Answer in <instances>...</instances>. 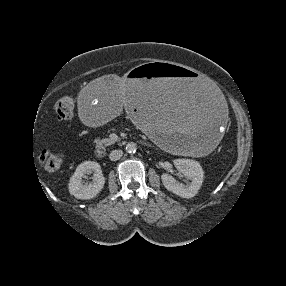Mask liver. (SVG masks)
Wrapping results in <instances>:
<instances>
[{"mask_svg":"<svg viewBox=\"0 0 286 286\" xmlns=\"http://www.w3.org/2000/svg\"><path fill=\"white\" fill-rule=\"evenodd\" d=\"M120 91L118 92V94H120V96H122L123 101H125V93L127 92V85H125L124 83L120 84Z\"/></svg>","mask_w":286,"mask_h":286,"instance_id":"1","label":"liver"}]
</instances>
